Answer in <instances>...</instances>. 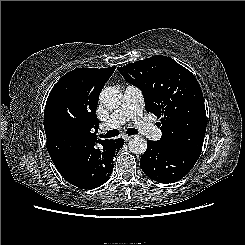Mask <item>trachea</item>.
Masks as SVG:
<instances>
[{
  "mask_svg": "<svg viewBox=\"0 0 245 245\" xmlns=\"http://www.w3.org/2000/svg\"><path fill=\"white\" fill-rule=\"evenodd\" d=\"M126 133L128 135H135V134H138V131H137V129L129 128V129H127ZM118 135H119V132L116 129H114V130L108 131L104 135L103 134H100L99 137L100 138H112V137H116Z\"/></svg>",
  "mask_w": 245,
  "mask_h": 245,
  "instance_id": "obj_1",
  "label": "trachea"
}]
</instances>
